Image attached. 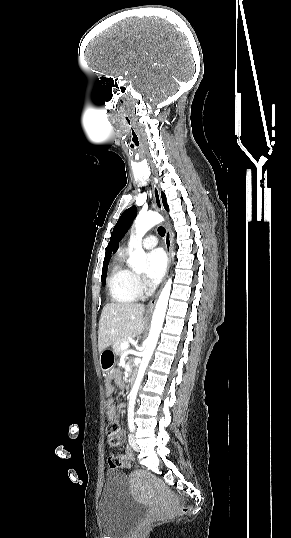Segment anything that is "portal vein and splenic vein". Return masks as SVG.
<instances>
[{"label":"portal vein and splenic vein","mask_w":291,"mask_h":538,"mask_svg":"<svg viewBox=\"0 0 291 538\" xmlns=\"http://www.w3.org/2000/svg\"><path fill=\"white\" fill-rule=\"evenodd\" d=\"M128 348H129V343H128V342H123V343L121 344V349H122V350H126V349H128Z\"/></svg>","instance_id":"1"}]
</instances>
